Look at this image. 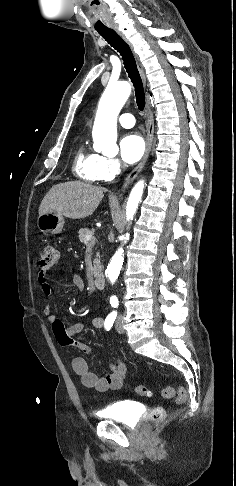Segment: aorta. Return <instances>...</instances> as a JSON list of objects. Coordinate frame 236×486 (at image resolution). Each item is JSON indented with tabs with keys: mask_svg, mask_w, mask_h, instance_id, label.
I'll return each mask as SVG.
<instances>
[{
	"mask_svg": "<svg viewBox=\"0 0 236 486\" xmlns=\"http://www.w3.org/2000/svg\"><path fill=\"white\" fill-rule=\"evenodd\" d=\"M131 93V86L128 82L109 83L99 101L96 118L93 125V148L104 155H113L118 152L117 141V116ZM145 183L143 180L137 182L133 187L126 206V218L132 220L139 202L141 201ZM129 234L122 236L126 242ZM124 250L119 248L112 257L108 268V278L114 283L122 268Z\"/></svg>",
	"mask_w": 236,
	"mask_h": 486,
	"instance_id": "aorta-1",
	"label": "aorta"
}]
</instances>
